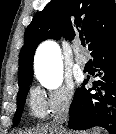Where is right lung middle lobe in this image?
<instances>
[{"label": "right lung middle lobe", "mask_w": 116, "mask_h": 134, "mask_svg": "<svg viewBox=\"0 0 116 134\" xmlns=\"http://www.w3.org/2000/svg\"><path fill=\"white\" fill-rule=\"evenodd\" d=\"M31 82L26 83L23 87L21 92L17 95V110L14 114V118H13V123L15 125L19 124L21 116H22V112L24 109V104H25V100H26V95L29 91V86H30Z\"/></svg>", "instance_id": "right-lung-middle-lobe-1"}]
</instances>
